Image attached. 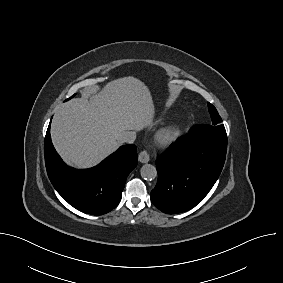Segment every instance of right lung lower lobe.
Listing matches in <instances>:
<instances>
[{
	"label": "right lung lower lobe",
	"mask_w": 283,
	"mask_h": 283,
	"mask_svg": "<svg viewBox=\"0 0 283 283\" xmlns=\"http://www.w3.org/2000/svg\"><path fill=\"white\" fill-rule=\"evenodd\" d=\"M44 152L47 174L57 192L74 208L92 215L106 214L119 204L127 176L137 165V148L129 144L93 168H71L53 147L50 125Z\"/></svg>",
	"instance_id": "98d812e1"
}]
</instances>
